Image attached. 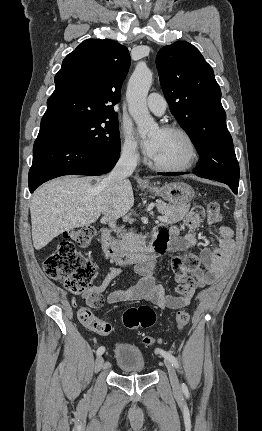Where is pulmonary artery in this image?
<instances>
[{
	"instance_id": "pulmonary-artery-1",
	"label": "pulmonary artery",
	"mask_w": 262,
	"mask_h": 431,
	"mask_svg": "<svg viewBox=\"0 0 262 431\" xmlns=\"http://www.w3.org/2000/svg\"><path fill=\"white\" fill-rule=\"evenodd\" d=\"M148 108L155 114L161 115L166 110V100L159 93H151L147 98Z\"/></svg>"
}]
</instances>
